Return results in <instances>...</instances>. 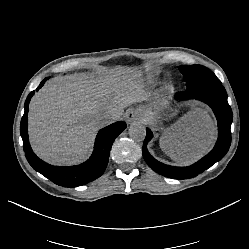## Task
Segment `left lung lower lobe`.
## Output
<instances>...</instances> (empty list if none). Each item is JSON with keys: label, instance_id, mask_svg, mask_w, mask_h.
I'll return each instance as SVG.
<instances>
[{"label": "left lung lower lobe", "instance_id": "0a47b994", "mask_svg": "<svg viewBox=\"0 0 249 249\" xmlns=\"http://www.w3.org/2000/svg\"><path fill=\"white\" fill-rule=\"evenodd\" d=\"M177 100L196 99L208 104L218 121V140L212 151L188 167H175L165 165L154 159L147 150V143L153 134L146 129V138L143 143L142 154L146 163L157 173L173 179H189L202 173L213 164L221 160L227 153L231 144V123L233 113L227 101V93L221 83H208L198 87L179 92L175 95Z\"/></svg>", "mask_w": 249, "mask_h": 249}]
</instances>
